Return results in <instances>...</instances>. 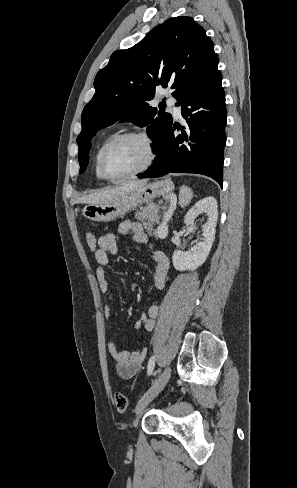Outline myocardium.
Here are the masks:
<instances>
[{"label":"myocardium","mask_w":297,"mask_h":488,"mask_svg":"<svg viewBox=\"0 0 297 488\" xmlns=\"http://www.w3.org/2000/svg\"><path fill=\"white\" fill-rule=\"evenodd\" d=\"M131 138L140 139L145 143V145L147 147V152H148L147 159L139 168H137V169H135L129 173H126V174H123L120 176H110L106 172V169H105V159H106L108 152L114 146H116L118 143H120L124 140H127V139H131ZM156 156H157L156 146H155L154 141L152 140V138L149 135H147L145 132H142V131H127V132L116 135L113 139H111L104 146V148L100 154V157H99V162H98L99 171H100L102 177L107 181L114 182V181H120V180L128 179V178L134 177V176L148 170L151 167V165L154 163Z\"/></svg>","instance_id":"1"}]
</instances>
